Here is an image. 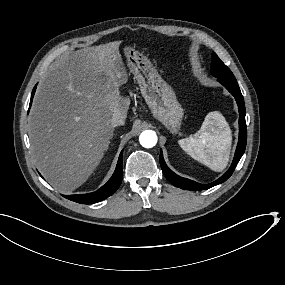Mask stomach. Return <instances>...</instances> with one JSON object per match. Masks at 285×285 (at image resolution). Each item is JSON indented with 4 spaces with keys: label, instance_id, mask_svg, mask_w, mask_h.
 <instances>
[{
    "label": "stomach",
    "instance_id": "obj_1",
    "mask_svg": "<svg viewBox=\"0 0 285 285\" xmlns=\"http://www.w3.org/2000/svg\"><path fill=\"white\" fill-rule=\"evenodd\" d=\"M126 55L152 117L160 121L171 133H178L183 109L172 88L140 53L127 49Z\"/></svg>",
    "mask_w": 285,
    "mask_h": 285
}]
</instances>
